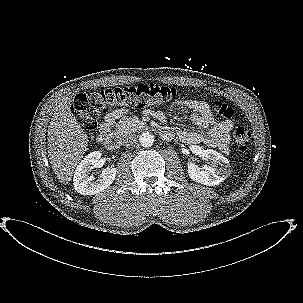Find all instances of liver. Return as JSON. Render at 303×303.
<instances>
[{"instance_id":"6515ba94","label":"liver","mask_w":303,"mask_h":303,"mask_svg":"<svg viewBox=\"0 0 303 303\" xmlns=\"http://www.w3.org/2000/svg\"><path fill=\"white\" fill-rule=\"evenodd\" d=\"M72 96H64L55 107L48 128V155L60 183L71 181L75 167L87 151L86 132L71 111Z\"/></svg>"}]
</instances>
